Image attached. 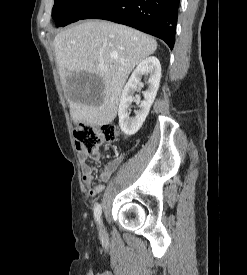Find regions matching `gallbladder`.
<instances>
[{
	"mask_svg": "<svg viewBox=\"0 0 247 275\" xmlns=\"http://www.w3.org/2000/svg\"><path fill=\"white\" fill-rule=\"evenodd\" d=\"M67 84L68 89L78 93L82 98H88L93 94H101L103 91L100 77L84 71L68 77Z\"/></svg>",
	"mask_w": 247,
	"mask_h": 275,
	"instance_id": "1",
	"label": "gallbladder"
}]
</instances>
